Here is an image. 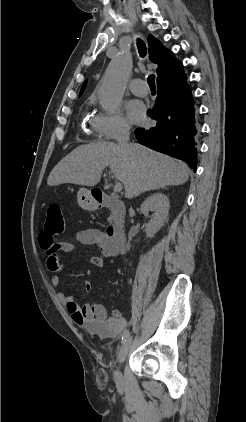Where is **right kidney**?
I'll use <instances>...</instances> for the list:
<instances>
[{
    "instance_id": "right-kidney-1",
    "label": "right kidney",
    "mask_w": 246,
    "mask_h": 422,
    "mask_svg": "<svg viewBox=\"0 0 246 422\" xmlns=\"http://www.w3.org/2000/svg\"><path fill=\"white\" fill-rule=\"evenodd\" d=\"M169 206L168 197L162 193L149 196L141 205V212L145 216H148L150 211L154 212L145 229L148 238H152L163 226L169 212Z\"/></svg>"
}]
</instances>
